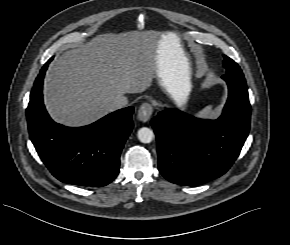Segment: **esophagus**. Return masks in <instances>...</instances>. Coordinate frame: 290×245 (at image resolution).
Returning a JSON list of instances; mask_svg holds the SVG:
<instances>
[{"label":"esophagus","instance_id":"1","mask_svg":"<svg viewBox=\"0 0 290 245\" xmlns=\"http://www.w3.org/2000/svg\"><path fill=\"white\" fill-rule=\"evenodd\" d=\"M153 113L152 105L148 102L143 103L138 110V119L147 122Z\"/></svg>","mask_w":290,"mask_h":245}]
</instances>
